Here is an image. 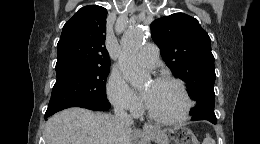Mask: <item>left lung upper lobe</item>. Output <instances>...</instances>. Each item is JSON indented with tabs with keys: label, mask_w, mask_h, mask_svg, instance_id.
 <instances>
[{
	"label": "left lung upper lobe",
	"mask_w": 260,
	"mask_h": 144,
	"mask_svg": "<svg viewBox=\"0 0 260 144\" xmlns=\"http://www.w3.org/2000/svg\"><path fill=\"white\" fill-rule=\"evenodd\" d=\"M151 34L162 58L176 78L187 83V90L197 105L192 120L216 118L214 113L216 78L210 37L197 19L175 13L151 23Z\"/></svg>",
	"instance_id": "obj_1"
}]
</instances>
